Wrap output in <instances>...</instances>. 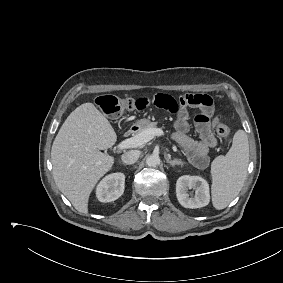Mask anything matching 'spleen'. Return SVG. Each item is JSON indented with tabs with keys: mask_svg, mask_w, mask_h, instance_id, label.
I'll return each instance as SVG.
<instances>
[{
	"mask_svg": "<svg viewBox=\"0 0 283 283\" xmlns=\"http://www.w3.org/2000/svg\"><path fill=\"white\" fill-rule=\"evenodd\" d=\"M248 163V137L243 130H238L228 153L216 157L211 164V194L215 209H224L239 194L246 179Z\"/></svg>",
	"mask_w": 283,
	"mask_h": 283,
	"instance_id": "obj_1",
	"label": "spleen"
}]
</instances>
